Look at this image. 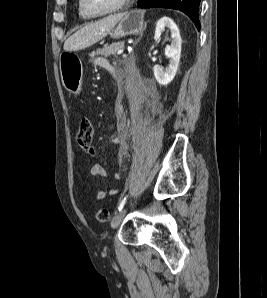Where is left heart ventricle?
Returning <instances> with one entry per match:
<instances>
[{"instance_id": "left-heart-ventricle-1", "label": "left heart ventricle", "mask_w": 267, "mask_h": 298, "mask_svg": "<svg viewBox=\"0 0 267 298\" xmlns=\"http://www.w3.org/2000/svg\"><path fill=\"white\" fill-rule=\"evenodd\" d=\"M122 0H84L86 9L95 14L104 13L116 8Z\"/></svg>"}]
</instances>
